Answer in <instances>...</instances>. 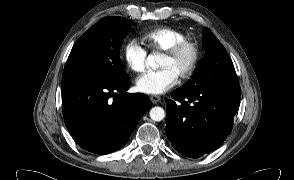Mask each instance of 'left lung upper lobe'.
I'll use <instances>...</instances> for the list:
<instances>
[{
	"label": "left lung upper lobe",
	"instance_id": "1",
	"mask_svg": "<svg viewBox=\"0 0 294 180\" xmlns=\"http://www.w3.org/2000/svg\"><path fill=\"white\" fill-rule=\"evenodd\" d=\"M202 32L206 52L196 72L180 88L195 90L210 86H239L233 63L224 46L210 29L204 28Z\"/></svg>",
	"mask_w": 294,
	"mask_h": 180
}]
</instances>
